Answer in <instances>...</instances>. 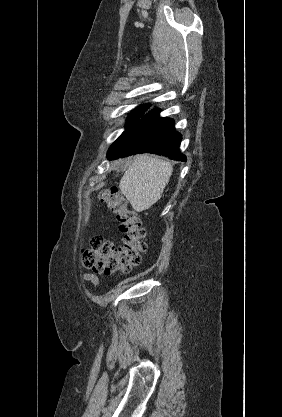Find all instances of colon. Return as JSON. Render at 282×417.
<instances>
[{"label": "colon", "instance_id": "1", "mask_svg": "<svg viewBox=\"0 0 282 417\" xmlns=\"http://www.w3.org/2000/svg\"><path fill=\"white\" fill-rule=\"evenodd\" d=\"M98 196L113 213L115 223L123 236L122 246L102 237H92L90 248L81 254L82 264L90 270L107 275L127 273L137 266L145 251V231L134 209L130 208L121 190L116 187L101 188Z\"/></svg>", "mask_w": 282, "mask_h": 417}]
</instances>
